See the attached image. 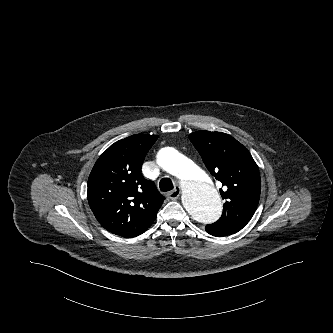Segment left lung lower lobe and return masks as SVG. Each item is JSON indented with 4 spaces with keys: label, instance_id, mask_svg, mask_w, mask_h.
Returning <instances> with one entry per match:
<instances>
[{
    "label": "left lung lower lobe",
    "instance_id": "obj_1",
    "mask_svg": "<svg viewBox=\"0 0 333 333\" xmlns=\"http://www.w3.org/2000/svg\"><path fill=\"white\" fill-rule=\"evenodd\" d=\"M205 229L209 234L217 237L234 234L241 230L240 228L217 223L207 225Z\"/></svg>",
    "mask_w": 333,
    "mask_h": 333
}]
</instances>
